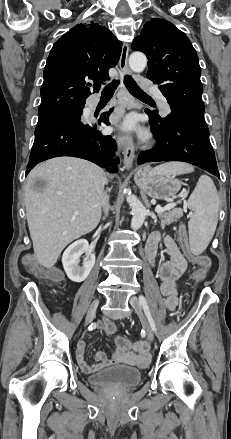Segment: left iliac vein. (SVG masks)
<instances>
[{
  "label": "left iliac vein",
  "mask_w": 231,
  "mask_h": 439,
  "mask_svg": "<svg viewBox=\"0 0 231 439\" xmlns=\"http://www.w3.org/2000/svg\"><path fill=\"white\" fill-rule=\"evenodd\" d=\"M129 303L131 304V306L135 309L136 313L138 314L139 318L141 319V322L143 324V327L146 331L147 334V338L150 341H153L154 339V334L149 326V323L147 322V319L145 317V314L143 312L142 306L138 300V298L136 296H132L129 299Z\"/></svg>",
  "instance_id": "4c4485c4"
}]
</instances>
